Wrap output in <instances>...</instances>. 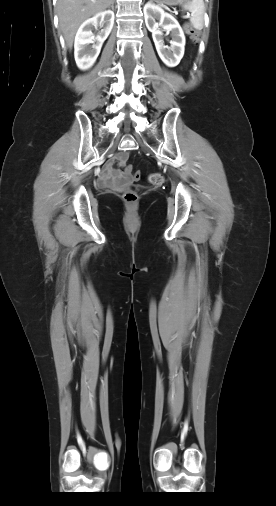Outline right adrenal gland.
Masks as SVG:
<instances>
[{
  "instance_id": "right-adrenal-gland-1",
  "label": "right adrenal gland",
  "mask_w": 276,
  "mask_h": 506,
  "mask_svg": "<svg viewBox=\"0 0 276 506\" xmlns=\"http://www.w3.org/2000/svg\"><path fill=\"white\" fill-rule=\"evenodd\" d=\"M111 8H112V10H114V3L111 4Z\"/></svg>"
}]
</instances>
